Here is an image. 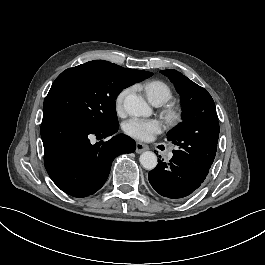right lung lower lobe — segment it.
Masks as SVG:
<instances>
[{
	"instance_id": "right-lung-lower-lobe-1",
	"label": "right lung lower lobe",
	"mask_w": 265,
	"mask_h": 265,
	"mask_svg": "<svg viewBox=\"0 0 265 265\" xmlns=\"http://www.w3.org/2000/svg\"><path fill=\"white\" fill-rule=\"evenodd\" d=\"M118 126L93 129L60 113H43L41 137L45 168L53 182L65 193L86 197L99 190L108 178L115 157L133 153V139L118 134L110 140L93 144L90 138L114 135Z\"/></svg>"
}]
</instances>
